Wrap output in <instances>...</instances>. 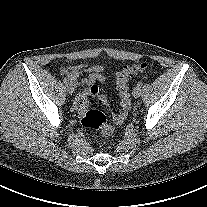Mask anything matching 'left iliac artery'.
<instances>
[{
	"label": "left iliac artery",
	"mask_w": 207,
	"mask_h": 207,
	"mask_svg": "<svg viewBox=\"0 0 207 207\" xmlns=\"http://www.w3.org/2000/svg\"><path fill=\"white\" fill-rule=\"evenodd\" d=\"M142 85H143L142 82L137 83V86L140 87V88L142 87Z\"/></svg>",
	"instance_id": "obj_1"
}]
</instances>
